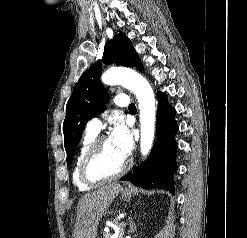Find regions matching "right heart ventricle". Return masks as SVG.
I'll return each instance as SVG.
<instances>
[{
	"label": "right heart ventricle",
	"instance_id": "1",
	"mask_svg": "<svg viewBox=\"0 0 247 238\" xmlns=\"http://www.w3.org/2000/svg\"><path fill=\"white\" fill-rule=\"evenodd\" d=\"M97 133L92 131H87L86 134L83 137L80 149L78 151V154L75 159V163L73 166L72 171V181L75 187H77L79 190L86 191L92 188L93 185L85 184L79 175V166L81 163V160L83 156L85 155L86 151L90 147V145L93 143V141L96 139Z\"/></svg>",
	"mask_w": 247,
	"mask_h": 238
}]
</instances>
